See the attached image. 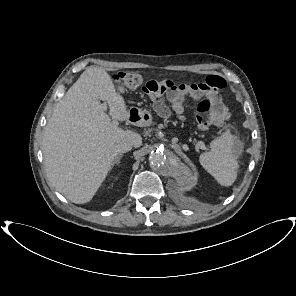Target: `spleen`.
<instances>
[{
	"instance_id": "3e777b00",
	"label": "spleen",
	"mask_w": 296,
	"mask_h": 296,
	"mask_svg": "<svg viewBox=\"0 0 296 296\" xmlns=\"http://www.w3.org/2000/svg\"><path fill=\"white\" fill-rule=\"evenodd\" d=\"M237 139L230 130L210 143V150L200 155L202 167L223 186H231L237 177L239 164Z\"/></svg>"
}]
</instances>
